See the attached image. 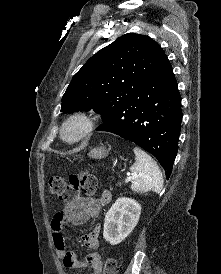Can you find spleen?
<instances>
[{
  "mask_svg": "<svg viewBox=\"0 0 221 274\" xmlns=\"http://www.w3.org/2000/svg\"><path fill=\"white\" fill-rule=\"evenodd\" d=\"M136 156L135 163L130 167L134 176L131 189L137 193L154 191L160 193L163 189V176L157 163L150 155L138 147L133 149Z\"/></svg>",
  "mask_w": 221,
  "mask_h": 274,
  "instance_id": "obj_1",
  "label": "spleen"
}]
</instances>
